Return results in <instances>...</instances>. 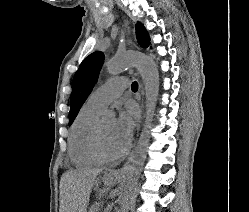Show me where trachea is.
I'll list each match as a JSON object with an SVG mask.
<instances>
[{
	"label": "trachea",
	"instance_id": "trachea-1",
	"mask_svg": "<svg viewBox=\"0 0 249 212\" xmlns=\"http://www.w3.org/2000/svg\"><path fill=\"white\" fill-rule=\"evenodd\" d=\"M132 90H138V83L137 82L132 83Z\"/></svg>",
	"mask_w": 249,
	"mask_h": 212
}]
</instances>
